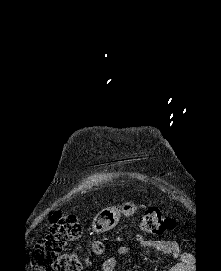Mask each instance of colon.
Here are the masks:
<instances>
[{
    "mask_svg": "<svg viewBox=\"0 0 221 271\" xmlns=\"http://www.w3.org/2000/svg\"><path fill=\"white\" fill-rule=\"evenodd\" d=\"M174 225V221L160 210L149 208L141 216L138 228L142 233L158 235L172 230ZM82 231L76 215L53 212L50 232L38 242L32 253V264L36 270L83 271L85 267L91 266L90 261L82 263L73 252L66 250L68 243L80 238ZM102 249V242L91 244V251L95 255L101 254Z\"/></svg>",
    "mask_w": 221,
    "mask_h": 271,
    "instance_id": "5ec220e1",
    "label": "colon"
}]
</instances>
